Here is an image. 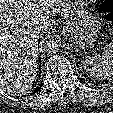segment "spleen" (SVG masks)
Listing matches in <instances>:
<instances>
[{"mask_svg": "<svg viewBox=\"0 0 113 113\" xmlns=\"http://www.w3.org/2000/svg\"><path fill=\"white\" fill-rule=\"evenodd\" d=\"M82 65L84 70L95 79L113 80V42L105 46L103 55L85 57Z\"/></svg>", "mask_w": 113, "mask_h": 113, "instance_id": "obj_1", "label": "spleen"}]
</instances>
